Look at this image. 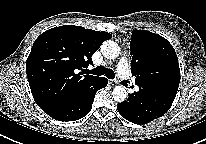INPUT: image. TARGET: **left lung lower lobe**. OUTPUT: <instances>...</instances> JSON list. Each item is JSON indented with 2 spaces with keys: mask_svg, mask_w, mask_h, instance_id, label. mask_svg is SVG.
<instances>
[{
  "mask_svg": "<svg viewBox=\"0 0 206 144\" xmlns=\"http://www.w3.org/2000/svg\"><path fill=\"white\" fill-rule=\"evenodd\" d=\"M174 97L170 94L151 96L145 86L129 94L126 101L117 104L122 117L135 124H146L163 116L171 107Z\"/></svg>",
  "mask_w": 206,
  "mask_h": 144,
  "instance_id": "obj_1",
  "label": "left lung lower lobe"
}]
</instances>
